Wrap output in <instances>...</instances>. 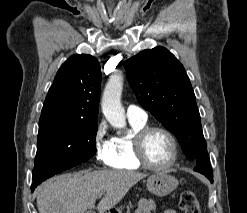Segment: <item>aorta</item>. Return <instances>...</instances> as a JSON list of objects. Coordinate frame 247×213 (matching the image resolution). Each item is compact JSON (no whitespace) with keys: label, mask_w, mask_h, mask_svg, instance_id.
I'll return each instance as SVG.
<instances>
[{"label":"aorta","mask_w":247,"mask_h":213,"mask_svg":"<svg viewBox=\"0 0 247 213\" xmlns=\"http://www.w3.org/2000/svg\"><path fill=\"white\" fill-rule=\"evenodd\" d=\"M123 76L121 73L112 75L103 92L101 107L106 120L114 128H125V111L121 104Z\"/></svg>","instance_id":"762f6f07"}]
</instances>
